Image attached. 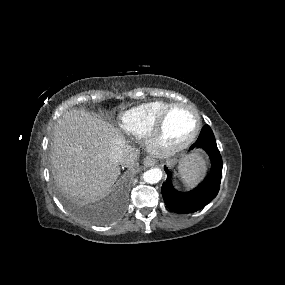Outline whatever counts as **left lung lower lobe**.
I'll return each instance as SVG.
<instances>
[{"mask_svg": "<svg viewBox=\"0 0 285 285\" xmlns=\"http://www.w3.org/2000/svg\"><path fill=\"white\" fill-rule=\"evenodd\" d=\"M194 148L204 149L212 165L210 174L196 189L187 193L177 192L171 183V173L166 166L164 167L167 179L162 185V195L167 207L176 213H193L203 208L216 197L220 189L223 163L214 134L208 125L202 128L190 150Z\"/></svg>", "mask_w": 285, "mask_h": 285, "instance_id": "0a47b994", "label": "left lung lower lobe"}]
</instances>
